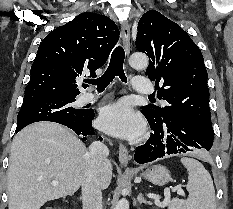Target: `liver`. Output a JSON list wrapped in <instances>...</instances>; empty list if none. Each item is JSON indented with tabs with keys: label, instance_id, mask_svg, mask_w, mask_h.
Masks as SVG:
<instances>
[{
	"label": "liver",
	"instance_id": "liver-1",
	"mask_svg": "<svg viewBox=\"0 0 233 209\" xmlns=\"http://www.w3.org/2000/svg\"><path fill=\"white\" fill-rule=\"evenodd\" d=\"M85 145L67 128L52 122L25 127L13 139L7 174L8 209H40L46 202L73 195L87 168ZM112 179L109 160L99 172L101 189ZM57 180L58 185L51 182Z\"/></svg>",
	"mask_w": 233,
	"mask_h": 209
}]
</instances>
